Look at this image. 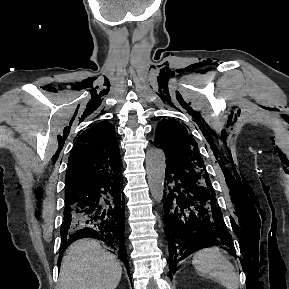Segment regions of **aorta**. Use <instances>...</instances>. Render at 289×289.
<instances>
[{
    "label": "aorta",
    "instance_id": "762f6f07",
    "mask_svg": "<svg viewBox=\"0 0 289 289\" xmlns=\"http://www.w3.org/2000/svg\"><path fill=\"white\" fill-rule=\"evenodd\" d=\"M166 158L159 148H151L146 153V172L151 195L161 203L164 195Z\"/></svg>",
    "mask_w": 289,
    "mask_h": 289
}]
</instances>
